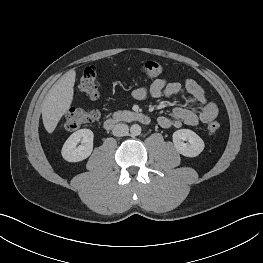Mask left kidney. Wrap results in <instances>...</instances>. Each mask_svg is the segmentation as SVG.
Listing matches in <instances>:
<instances>
[{
    "label": "left kidney",
    "instance_id": "5707ae66",
    "mask_svg": "<svg viewBox=\"0 0 263 263\" xmlns=\"http://www.w3.org/2000/svg\"><path fill=\"white\" fill-rule=\"evenodd\" d=\"M174 147L183 156L196 157L204 149V141L192 130L180 129L173 133ZM184 141H187L185 143Z\"/></svg>",
    "mask_w": 263,
    "mask_h": 263
}]
</instances>
